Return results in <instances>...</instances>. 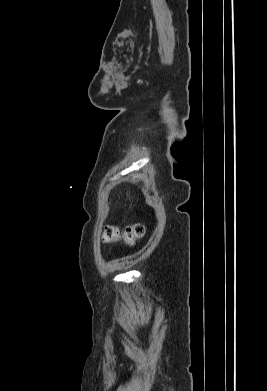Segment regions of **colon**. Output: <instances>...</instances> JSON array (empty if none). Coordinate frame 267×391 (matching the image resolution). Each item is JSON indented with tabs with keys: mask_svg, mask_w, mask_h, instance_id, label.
I'll use <instances>...</instances> for the list:
<instances>
[{
	"mask_svg": "<svg viewBox=\"0 0 267 391\" xmlns=\"http://www.w3.org/2000/svg\"><path fill=\"white\" fill-rule=\"evenodd\" d=\"M145 233V228L141 224L127 226L123 230L109 226L106 228L104 238L108 242L123 241L128 245L134 244Z\"/></svg>",
	"mask_w": 267,
	"mask_h": 391,
	"instance_id": "1",
	"label": "colon"
}]
</instances>
